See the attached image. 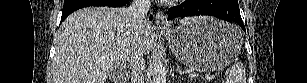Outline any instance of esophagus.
Returning a JSON list of instances; mask_svg holds the SVG:
<instances>
[{"label": "esophagus", "instance_id": "obj_1", "mask_svg": "<svg viewBox=\"0 0 307 83\" xmlns=\"http://www.w3.org/2000/svg\"><path fill=\"white\" fill-rule=\"evenodd\" d=\"M155 20H156V25L160 28V29H167L168 26L166 24V21H165V15L163 14L162 11H158L156 13V17H155Z\"/></svg>", "mask_w": 307, "mask_h": 83}]
</instances>
